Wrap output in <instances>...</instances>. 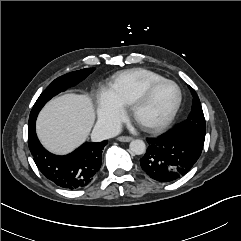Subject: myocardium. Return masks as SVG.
<instances>
[{"instance_id":"myocardium-1","label":"myocardium","mask_w":241,"mask_h":241,"mask_svg":"<svg viewBox=\"0 0 241 241\" xmlns=\"http://www.w3.org/2000/svg\"><path fill=\"white\" fill-rule=\"evenodd\" d=\"M165 83H169L172 84L176 87L177 92H178V98L176 101V104L173 108V110L171 111V113L169 114V116L162 122L157 123V124H147V123H141L138 121L137 119V113L138 110L141 108V106H143L147 100L149 99V97L151 96V94L155 91V89H157L159 86L165 84ZM182 101H183V93L182 90L180 88V86L173 80L170 79H161L158 81H155L151 84H149L135 99L134 101L131 103L130 105V113L132 118L138 122L144 129L148 130V131H152V132H160L163 131L165 129H167L175 120L180 107L182 105Z\"/></svg>"}]
</instances>
